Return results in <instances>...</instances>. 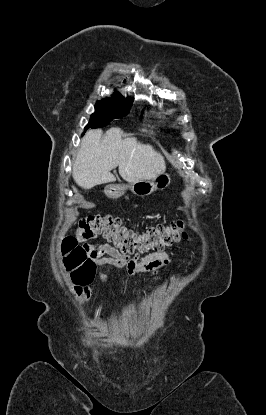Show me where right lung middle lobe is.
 Returning a JSON list of instances; mask_svg holds the SVG:
<instances>
[{
	"label": "right lung middle lobe",
	"instance_id": "obj_1",
	"mask_svg": "<svg viewBox=\"0 0 266 415\" xmlns=\"http://www.w3.org/2000/svg\"><path fill=\"white\" fill-rule=\"evenodd\" d=\"M131 99L114 97L97 101L95 113L91 115L90 121L85 127L99 128L108 125L113 119L122 118L129 113L132 106Z\"/></svg>",
	"mask_w": 266,
	"mask_h": 415
}]
</instances>
